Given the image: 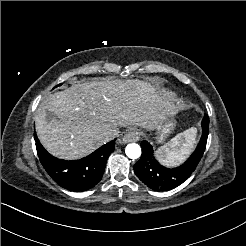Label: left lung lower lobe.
I'll list each match as a JSON object with an SVG mask.
<instances>
[{
	"instance_id": "1",
	"label": "left lung lower lobe",
	"mask_w": 246,
	"mask_h": 246,
	"mask_svg": "<svg viewBox=\"0 0 246 246\" xmlns=\"http://www.w3.org/2000/svg\"><path fill=\"white\" fill-rule=\"evenodd\" d=\"M202 136L190 158L180 167L168 169L158 163L153 148L147 141L141 142L142 155L134 165L135 174L149 188L157 191L173 189L182 184L195 170L206 148L209 130V117L202 120Z\"/></svg>"
}]
</instances>
